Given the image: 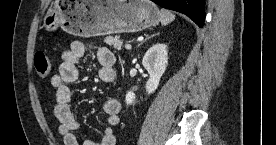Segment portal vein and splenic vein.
Listing matches in <instances>:
<instances>
[{"label":"portal vein and splenic vein","mask_w":276,"mask_h":145,"mask_svg":"<svg viewBox=\"0 0 276 145\" xmlns=\"http://www.w3.org/2000/svg\"><path fill=\"white\" fill-rule=\"evenodd\" d=\"M132 46L130 44H125V49L130 50Z\"/></svg>","instance_id":"portal-vein-and-splenic-vein-1"}]
</instances>
